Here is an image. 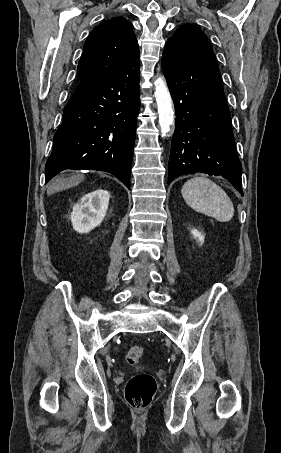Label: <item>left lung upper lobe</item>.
Here are the masks:
<instances>
[{"instance_id":"5c2ea615","label":"left lung upper lobe","mask_w":281,"mask_h":453,"mask_svg":"<svg viewBox=\"0 0 281 453\" xmlns=\"http://www.w3.org/2000/svg\"><path fill=\"white\" fill-rule=\"evenodd\" d=\"M168 40H175L183 47L191 50L210 51V44L207 42L206 35L196 26L191 24L182 25Z\"/></svg>"}]
</instances>
